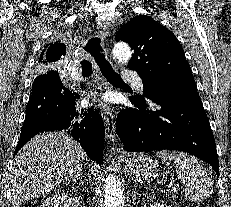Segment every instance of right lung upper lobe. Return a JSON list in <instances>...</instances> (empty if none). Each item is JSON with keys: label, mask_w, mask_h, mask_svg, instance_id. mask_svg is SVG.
<instances>
[{"label": "right lung upper lobe", "mask_w": 231, "mask_h": 207, "mask_svg": "<svg viewBox=\"0 0 231 207\" xmlns=\"http://www.w3.org/2000/svg\"><path fill=\"white\" fill-rule=\"evenodd\" d=\"M66 54V47L64 43L55 42L47 46L40 55L41 63L47 64L48 62L58 61L61 56Z\"/></svg>", "instance_id": "cb5924a9"}]
</instances>
